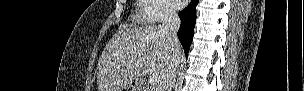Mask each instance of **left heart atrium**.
Masks as SVG:
<instances>
[{"label":"left heart atrium","instance_id":"left-heart-atrium-1","mask_svg":"<svg viewBox=\"0 0 304 91\" xmlns=\"http://www.w3.org/2000/svg\"><path fill=\"white\" fill-rule=\"evenodd\" d=\"M174 3L176 5V7H178V8H182V7L185 6V1L184 0H175Z\"/></svg>","mask_w":304,"mask_h":91}]
</instances>
